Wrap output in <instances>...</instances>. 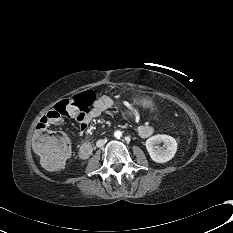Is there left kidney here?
Segmentation results:
<instances>
[{
    "label": "left kidney",
    "mask_w": 233,
    "mask_h": 233,
    "mask_svg": "<svg viewBox=\"0 0 233 233\" xmlns=\"http://www.w3.org/2000/svg\"><path fill=\"white\" fill-rule=\"evenodd\" d=\"M160 143H163L164 146H155ZM146 149L154 162L166 163L174 157L177 151V142L172 136L158 134L146 140Z\"/></svg>",
    "instance_id": "5707ae66"
}]
</instances>
